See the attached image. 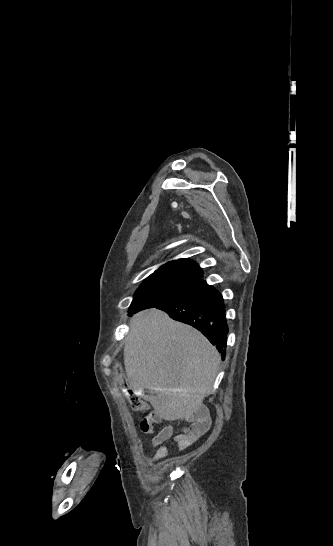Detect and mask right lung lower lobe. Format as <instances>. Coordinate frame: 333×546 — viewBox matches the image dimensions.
Segmentation results:
<instances>
[{
	"instance_id": "98d812e1",
	"label": "right lung lower lobe",
	"mask_w": 333,
	"mask_h": 546,
	"mask_svg": "<svg viewBox=\"0 0 333 546\" xmlns=\"http://www.w3.org/2000/svg\"><path fill=\"white\" fill-rule=\"evenodd\" d=\"M173 319L200 330L225 357L228 334L225 305L222 295L202 281L195 291L155 306ZM143 310V309H142ZM140 310L129 311V315Z\"/></svg>"
}]
</instances>
